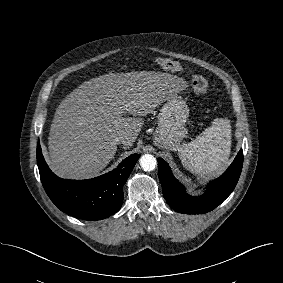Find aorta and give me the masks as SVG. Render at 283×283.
I'll return each mask as SVG.
<instances>
[{
    "label": "aorta",
    "mask_w": 283,
    "mask_h": 283,
    "mask_svg": "<svg viewBox=\"0 0 283 283\" xmlns=\"http://www.w3.org/2000/svg\"><path fill=\"white\" fill-rule=\"evenodd\" d=\"M140 165L144 171H152L157 166V160L151 154H144L140 158Z\"/></svg>",
    "instance_id": "1"
}]
</instances>
